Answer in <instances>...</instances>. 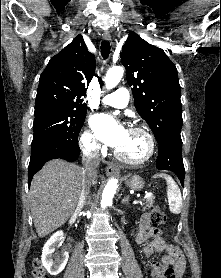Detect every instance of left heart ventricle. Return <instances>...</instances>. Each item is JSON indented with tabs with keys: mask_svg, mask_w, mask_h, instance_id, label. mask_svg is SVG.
I'll list each match as a JSON object with an SVG mask.
<instances>
[{
	"mask_svg": "<svg viewBox=\"0 0 221 278\" xmlns=\"http://www.w3.org/2000/svg\"><path fill=\"white\" fill-rule=\"evenodd\" d=\"M117 150L129 159H141L148 150L147 140L140 133L127 131L124 143Z\"/></svg>",
	"mask_w": 221,
	"mask_h": 278,
	"instance_id": "obj_1",
	"label": "left heart ventricle"
}]
</instances>
